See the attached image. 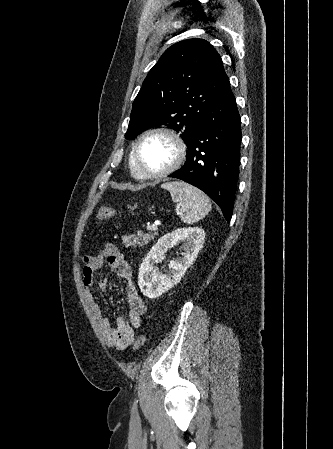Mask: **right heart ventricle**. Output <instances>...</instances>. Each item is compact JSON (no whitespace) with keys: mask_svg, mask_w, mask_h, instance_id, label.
Masks as SVG:
<instances>
[{"mask_svg":"<svg viewBox=\"0 0 333 449\" xmlns=\"http://www.w3.org/2000/svg\"><path fill=\"white\" fill-rule=\"evenodd\" d=\"M129 170H130L131 175L134 178L140 179L139 174H138L137 169H136V166H135V163H134V159H133L132 153L130 154V157H129Z\"/></svg>","mask_w":333,"mask_h":449,"instance_id":"right-heart-ventricle-1","label":"right heart ventricle"}]
</instances>
